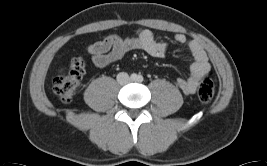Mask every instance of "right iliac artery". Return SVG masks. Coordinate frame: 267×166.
<instances>
[{"instance_id": "82829eb1", "label": "right iliac artery", "mask_w": 267, "mask_h": 166, "mask_svg": "<svg viewBox=\"0 0 267 166\" xmlns=\"http://www.w3.org/2000/svg\"><path fill=\"white\" fill-rule=\"evenodd\" d=\"M130 78H131V80H136V78H137V75L135 74V73H133V74H131V76H130Z\"/></svg>"}]
</instances>
